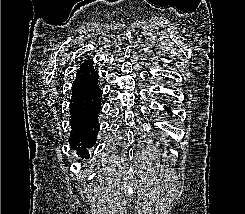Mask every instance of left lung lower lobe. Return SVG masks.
Listing matches in <instances>:
<instances>
[{
	"mask_svg": "<svg viewBox=\"0 0 245 214\" xmlns=\"http://www.w3.org/2000/svg\"><path fill=\"white\" fill-rule=\"evenodd\" d=\"M166 110H167L168 112H170V108H166Z\"/></svg>",
	"mask_w": 245,
	"mask_h": 214,
	"instance_id": "obj_1",
	"label": "left lung lower lobe"
}]
</instances>
